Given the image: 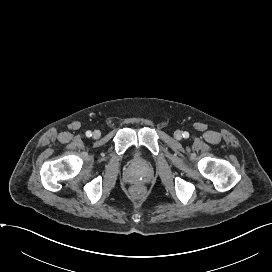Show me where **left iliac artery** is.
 Instances as JSON below:
<instances>
[{
    "mask_svg": "<svg viewBox=\"0 0 272 272\" xmlns=\"http://www.w3.org/2000/svg\"><path fill=\"white\" fill-rule=\"evenodd\" d=\"M182 136H183L184 138H188V137H189V133L185 131V132H183Z\"/></svg>",
    "mask_w": 272,
    "mask_h": 272,
    "instance_id": "obj_1",
    "label": "left iliac artery"
}]
</instances>
